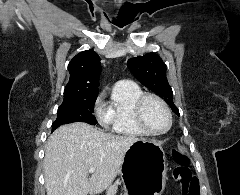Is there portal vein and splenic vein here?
<instances>
[{
  "mask_svg": "<svg viewBox=\"0 0 240 195\" xmlns=\"http://www.w3.org/2000/svg\"><path fill=\"white\" fill-rule=\"evenodd\" d=\"M95 169H96V167H90L89 173H94Z\"/></svg>",
  "mask_w": 240,
  "mask_h": 195,
  "instance_id": "portal-vein-and-splenic-vein-1",
  "label": "portal vein and splenic vein"
}]
</instances>
